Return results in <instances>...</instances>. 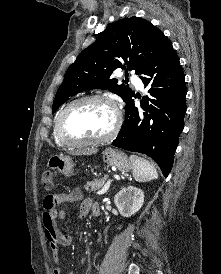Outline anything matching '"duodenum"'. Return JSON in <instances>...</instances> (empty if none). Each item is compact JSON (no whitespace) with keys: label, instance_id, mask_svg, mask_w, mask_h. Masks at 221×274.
<instances>
[{"label":"duodenum","instance_id":"obj_1","mask_svg":"<svg viewBox=\"0 0 221 274\" xmlns=\"http://www.w3.org/2000/svg\"><path fill=\"white\" fill-rule=\"evenodd\" d=\"M93 214H94L95 216L100 215V207H96V208L94 209V211H93Z\"/></svg>","mask_w":221,"mask_h":274}]
</instances>
